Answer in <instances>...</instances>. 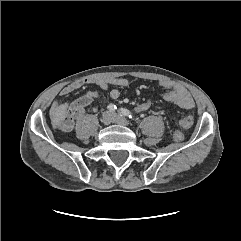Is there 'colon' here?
<instances>
[{"label": "colon", "instance_id": "obj_1", "mask_svg": "<svg viewBox=\"0 0 241 241\" xmlns=\"http://www.w3.org/2000/svg\"><path fill=\"white\" fill-rule=\"evenodd\" d=\"M152 102L151 101H144L136 105L135 110L138 113H146L151 111L152 109ZM51 116L54 124L60 128L61 130L69 126L71 123V117L68 115V113L60 108L54 107L51 111ZM194 123V118L192 116H186L180 119L179 126L182 129H188L190 128ZM183 133L181 131H176L173 134V139L175 141H182L183 140Z\"/></svg>", "mask_w": 241, "mask_h": 241}]
</instances>
